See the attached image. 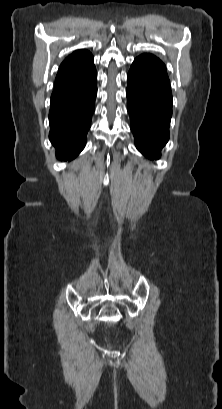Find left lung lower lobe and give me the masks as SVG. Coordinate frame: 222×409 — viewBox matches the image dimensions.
<instances>
[{
    "instance_id": "0a47b994",
    "label": "left lung lower lobe",
    "mask_w": 222,
    "mask_h": 409,
    "mask_svg": "<svg viewBox=\"0 0 222 409\" xmlns=\"http://www.w3.org/2000/svg\"><path fill=\"white\" fill-rule=\"evenodd\" d=\"M127 80V109L135 145L146 157L158 159L169 139L172 116L170 84L131 69Z\"/></svg>"
}]
</instances>
